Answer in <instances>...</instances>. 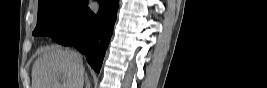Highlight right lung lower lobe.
<instances>
[{
	"label": "right lung lower lobe",
	"mask_w": 267,
	"mask_h": 88,
	"mask_svg": "<svg viewBox=\"0 0 267 88\" xmlns=\"http://www.w3.org/2000/svg\"><path fill=\"white\" fill-rule=\"evenodd\" d=\"M99 12L87 8L73 26L53 40L62 45H71L86 55L91 67L99 72L112 36L119 0H98Z\"/></svg>",
	"instance_id": "1"
}]
</instances>
